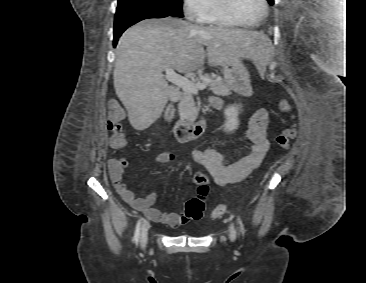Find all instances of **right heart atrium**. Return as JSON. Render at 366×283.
<instances>
[{
	"label": "right heart atrium",
	"mask_w": 366,
	"mask_h": 283,
	"mask_svg": "<svg viewBox=\"0 0 366 283\" xmlns=\"http://www.w3.org/2000/svg\"><path fill=\"white\" fill-rule=\"evenodd\" d=\"M185 14L194 20H200L208 10L209 0H183Z\"/></svg>",
	"instance_id": "d8ad5b80"
}]
</instances>
